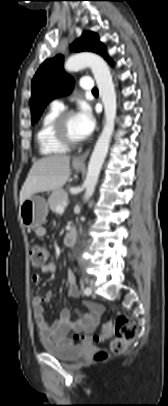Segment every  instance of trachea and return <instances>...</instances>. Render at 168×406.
Returning <instances> with one entry per match:
<instances>
[{
	"mask_svg": "<svg viewBox=\"0 0 168 406\" xmlns=\"http://www.w3.org/2000/svg\"><path fill=\"white\" fill-rule=\"evenodd\" d=\"M92 92H93V93H98L97 88L95 87V88L92 90Z\"/></svg>",
	"mask_w": 168,
	"mask_h": 406,
	"instance_id": "3493384b",
	"label": "trachea"
}]
</instances>
